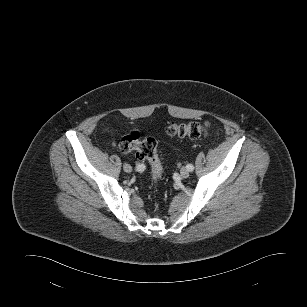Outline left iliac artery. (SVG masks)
I'll return each mask as SVG.
<instances>
[{
    "mask_svg": "<svg viewBox=\"0 0 307 307\" xmlns=\"http://www.w3.org/2000/svg\"><path fill=\"white\" fill-rule=\"evenodd\" d=\"M186 167H187V169L189 171H193L194 170V166L192 164H188Z\"/></svg>",
    "mask_w": 307,
    "mask_h": 307,
    "instance_id": "1",
    "label": "left iliac artery"
}]
</instances>
